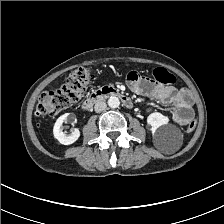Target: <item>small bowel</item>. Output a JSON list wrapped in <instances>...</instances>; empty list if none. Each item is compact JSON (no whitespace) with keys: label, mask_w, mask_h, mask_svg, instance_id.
I'll return each instance as SVG.
<instances>
[{"label":"small bowel","mask_w":224,"mask_h":224,"mask_svg":"<svg viewBox=\"0 0 224 224\" xmlns=\"http://www.w3.org/2000/svg\"><path fill=\"white\" fill-rule=\"evenodd\" d=\"M127 82L135 93L153 99L161 105H173L171 116L176 124L183 126L191 120L190 107L194 97L189 90L161 86L135 71L128 74Z\"/></svg>","instance_id":"obj_1"}]
</instances>
